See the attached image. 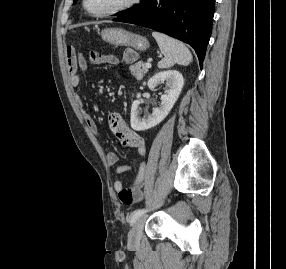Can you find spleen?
<instances>
[{
  "mask_svg": "<svg viewBox=\"0 0 286 269\" xmlns=\"http://www.w3.org/2000/svg\"><path fill=\"white\" fill-rule=\"evenodd\" d=\"M152 36L164 55V58L158 62L160 69L170 68L176 63L187 66L192 62V54L182 42L156 31L152 32Z\"/></svg>",
  "mask_w": 286,
  "mask_h": 269,
  "instance_id": "obj_1",
  "label": "spleen"
}]
</instances>
